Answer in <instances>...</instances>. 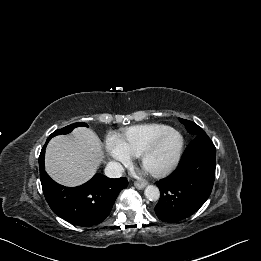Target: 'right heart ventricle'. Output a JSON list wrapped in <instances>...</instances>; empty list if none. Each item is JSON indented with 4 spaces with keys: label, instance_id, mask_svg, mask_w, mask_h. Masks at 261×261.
<instances>
[{
    "label": "right heart ventricle",
    "instance_id": "obj_1",
    "mask_svg": "<svg viewBox=\"0 0 261 261\" xmlns=\"http://www.w3.org/2000/svg\"><path fill=\"white\" fill-rule=\"evenodd\" d=\"M169 128L167 125L158 123L135 125L116 139L130 157H138L156 136Z\"/></svg>",
    "mask_w": 261,
    "mask_h": 261
}]
</instances>
